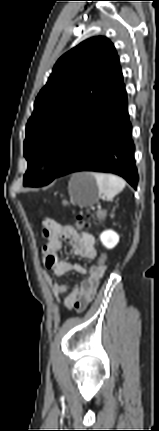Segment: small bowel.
Returning <instances> with one entry per match:
<instances>
[{
  "instance_id": "1",
  "label": "small bowel",
  "mask_w": 159,
  "mask_h": 431,
  "mask_svg": "<svg viewBox=\"0 0 159 431\" xmlns=\"http://www.w3.org/2000/svg\"><path fill=\"white\" fill-rule=\"evenodd\" d=\"M43 235L47 242L43 246L42 254L44 265L50 275L47 277L51 292L58 297L68 292L64 306L67 309L82 310L94 298L100 279L107 273L106 263H97L88 270V276L71 289L68 285L58 281L66 273L73 271L85 274L87 270L80 264L60 260L58 251L62 241L69 243L75 255L84 259H94L97 256L95 238L86 232L79 233L71 225L61 224L54 219L43 220Z\"/></svg>"
}]
</instances>
